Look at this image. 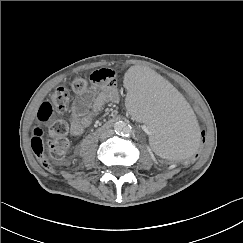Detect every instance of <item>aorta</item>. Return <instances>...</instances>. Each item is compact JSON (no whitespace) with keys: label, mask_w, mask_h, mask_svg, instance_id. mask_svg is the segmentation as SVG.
I'll return each mask as SVG.
<instances>
[{"label":"aorta","mask_w":243,"mask_h":243,"mask_svg":"<svg viewBox=\"0 0 243 243\" xmlns=\"http://www.w3.org/2000/svg\"><path fill=\"white\" fill-rule=\"evenodd\" d=\"M114 129L117 133L123 136L130 135L132 132V127L123 121L116 122Z\"/></svg>","instance_id":"obj_1"}]
</instances>
